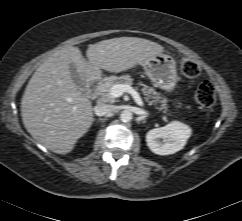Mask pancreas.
<instances>
[{"label":"pancreas","instance_id":"1","mask_svg":"<svg viewBox=\"0 0 242 221\" xmlns=\"http://www.w3.org/2000/svg\"><path fill=\"white\" fill-rule=\"evenodd\" d=\"M116 84H133V79L129 75H124L121 77L110 76L104 79L98 87L99 99L102 102L115 103L116 99L111 95V88ZM142 92L145 96V101L149 104H161L160 107H156L159 111L164 113L168 112L167 100L162 98L158 92L155 91L152 87H149L145 84L142 85Z\"/></svg>","mask_w":242,"mask_h":221}]
</instances>
